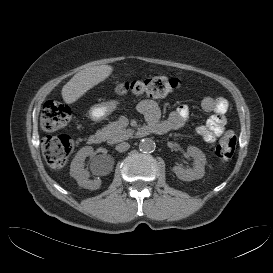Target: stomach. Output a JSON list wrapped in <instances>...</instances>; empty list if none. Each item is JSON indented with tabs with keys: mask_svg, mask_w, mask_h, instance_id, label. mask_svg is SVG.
I'll use <instances>...</instances> for the list:
<instances>
[{
	"mask_svg": "<svg viewBox=\"0 0 273 273\" xmlns=\"http://www.w3.org/2000/svg\"><path fill=\"white\" fill-rule=\"evenodd\" d=\"M117 106L118 102L116 100L95 104L89 110V116L94 121L103 120L115 111Z\"/></svg>",
	"mask_w": 273,
	"mask_h": 273,
	"instance_id": "0dacf381",
	"label": "stomach"
}]
</instances>
